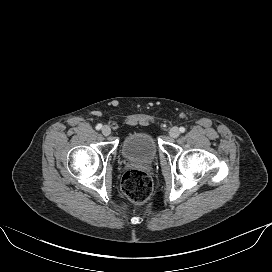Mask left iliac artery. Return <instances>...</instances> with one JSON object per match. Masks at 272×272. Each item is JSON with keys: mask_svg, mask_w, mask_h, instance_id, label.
Masks as SVG:
<instances>
[{"mask_svg": "<svg viewBox=\"0 0 272 272\" xmlns=\"http://www.w3.org/2000/svg\"><path fill=\"white\" fill-rule=\"evenodd\" d=\"M179 131H180L181 133H184V132H185V128H184V127H180V128H179Z\"/></svg>", "mask_w": 272, "mask_h": 272, "instance_id": "44dca946", "label": "left iliac artery"}]
</instances>
